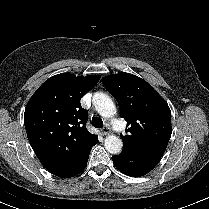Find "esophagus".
Listing matches in <instances>:
<instances>
[{
  "label": "esophagus",
  "instance_id": "obj_1",
  "mask_svg": "<svg viewBox=\"0 0 209 209\" xmlns=\"http://www.w3.org/2000/svg\"><path fill=\"white\" fill-rule=\"evenodd\" d=\"M101 133H102L103 135H107V134H109V129H108L107 127H103V128L101 129Z\"/></svg>",
  "mask_w": 209,
  "mask_h": 209
}]
</instances>
